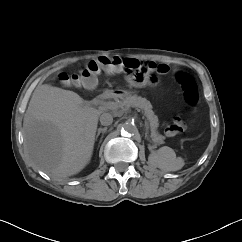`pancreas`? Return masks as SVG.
I'll use <instances>...</instances> for the list:
<instances>
[{"label": "pancreas", "mask_w": 242, "mask_h": 242, "mask_svg": "<svg viewBox=\"0 0 242 242\" xmlns=\"http://www.w3.org/2000/svg\"><path fill=\"white\" fill-rule=\"evenodd\" d=\"M113 98L116 101L118 100V97L116 95H113ZM116 103L121 108L123 107L140 108L147 118V123L150 127L152 140L154 142L163 141L164 137L157 132V128L159 126L158 117L154 114L150 101H148L146 98H142L137 95H130V96L121 97V101Z\"/></svg>", "instance_id": "cf45deb5"}]
</instances>
